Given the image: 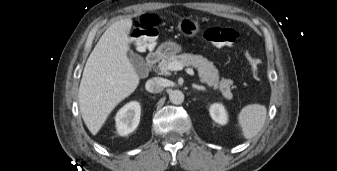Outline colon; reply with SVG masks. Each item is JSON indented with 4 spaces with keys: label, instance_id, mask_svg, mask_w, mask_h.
Instances as JSON below:
<instances>
[{
    "label": "colon",
    "instance_id": "obj_1",
    "mask_svg": "<svg viewBox=\"0 0 337 171\" xmlns=\"http://www.w3.org/2000/svg\"><path fill=\"white\" fill-rule=\"evenodd\" d=\"M157 20L151 15H142L134 25V44L138 48H148L154 45L157 40ZM207 41L216 46H228L234 44L239 34L233 28L209 27L204 32ZM246 57L256 79H259L261 61L251 51H246Z\"/></svg>",
    "mask_w": 337,
    "mask_h": 171
}]
</instances>
